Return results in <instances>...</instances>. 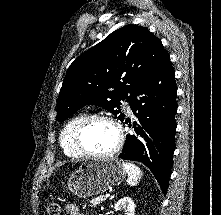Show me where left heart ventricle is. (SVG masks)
I'll use <instances>...</instances> for the list:
<instances>
[{"label": "left heart ventricle", "instance_id": "1", "mask_svg": "<svg viewBox=\"0 0 221 215\" xmlns=\"http://www.w3.org/2000/svg\"><path fill=\"white\" fill-rule=\"evenodd\" d=\"M115 128L107 121H96L89 126L83 135L84 147L92 153H104L116 143Z\"/></svg>", "mask_w": 221, "mask_h": 215}]
</instances>
